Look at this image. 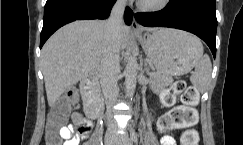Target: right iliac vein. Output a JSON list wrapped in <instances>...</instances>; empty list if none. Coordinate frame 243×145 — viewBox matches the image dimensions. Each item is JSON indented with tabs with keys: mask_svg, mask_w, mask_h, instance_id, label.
Segmentation results:
<instances>
[{
	"mask_svg": "<svg viewBox=\"0 0 243 145\" xmlns=\"http://www.w3.org/2000/svg\"><path fill=\"white\" fill-rule=\"evenodd\" d=\"M116 137L113 134H106L105 145H115Z\"/></svg>",
	"mask_w": 243,
	"mask_h": 145,
	"instance_id": "obj_1",
	"label": "right iliac vein"
}]
</instances>
